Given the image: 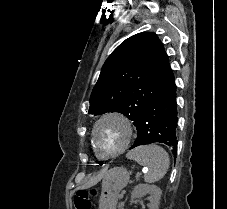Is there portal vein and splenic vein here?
I'll return each instance as SVG.
<instances>
[{
  "mask_svg": "<svg viewBox=\"0 0 227 209\" xmlns=\"http://www.w3.org/2000/svg\"><path fill=\"white\" fill-rule=\"evenodd\" d=\"M126 193H127V190L123 189L122 193L119 194V197L122 199L124 197V194H126Z\"/></svg>",
  "mask_w": 227,
  "mask_h": 209,
  "instance_id": "portal-vein-and-splenic-vein-1",
  "label": "portal vein and splenic vein"
}]
</instances>
